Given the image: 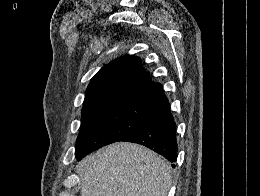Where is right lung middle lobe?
<instances>
[{
	"instance_id": "right-lung-middle-lobe-1",
	"label": "right lung middle lobe",
	"mask_w": 260,
	"mask_h": 196,
	"mask_svg": "<svg viewBox=\"0 0 260 196\" xmlns=\"http://www.w3.org/2000/svg\"><path fill=\"white\" fill-rule=\"evenodd\" d=\"M155 118L131 103L83 106L76 149H98L122 139Z\"/></svg>"
}]
</instances>
